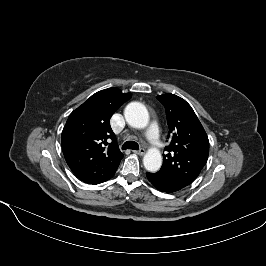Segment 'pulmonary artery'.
Masks as SVG:
<instances>
[{
    "mask_svg": "<svg viewBox=\"0 0 266 266\" xmlns=\"http://www.w3.org/2000/svg\"><path fill=\"white\" fill-rule=\"evenodd\" d=\"M146 137L151 145L155 147H160V140H159V131L158 127L155 123L151 124L146 131Z\"/></svg>",
    "mask_w": 266,
    "mask_h": 266,
    "instance_id": "1",
    "label": "pulmonary artery"
}]
</instances>
